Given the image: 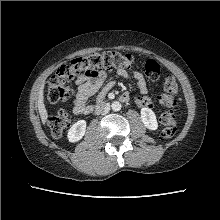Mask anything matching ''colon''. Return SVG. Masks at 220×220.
Masks as SVG:
<instances>
[{"mask_svg":"<svg viewBox=\"0 0 220 220\" xmlns=\"http://www.w3.org/2000/svg\"><path fill=\"white\" fill-rule=\"evenodd\" d=\"M134 66V58L129 54H122L115 51L103 53H92L89 55L77 57L69 64L60 66L51 77L48 85V101L56 104L66 101L73 95V89L70 85L71 80L78 74H93L102 69H131ZM143 70L145 75L156 80L160 74V65L152 59L144 63ZM178 92V84L174 76L167 75L162 84V92L159 96L160 103L164 110L160 115V122L163 125L161 137L170 138L175 133V95ZM49 127L52 136L60 137L68 127V115L58 110L49 115Z\"/></svg>","mask_w":220,"mask_h":220,"instance_id":"5ec220e1","label":"colon"}]
</instances>
